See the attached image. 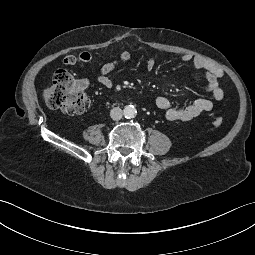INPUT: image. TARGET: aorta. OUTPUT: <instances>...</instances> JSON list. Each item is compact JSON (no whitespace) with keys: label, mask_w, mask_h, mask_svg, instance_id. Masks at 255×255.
Listing matches in <instances>:
<instances>
[{"label":"aorta","mask_w":255,"mask_h":255,"mask_svg":"<svg viewBox=\"0 0 255 255\" xmlns=\"http://www.w3.org/2000/svg\"><path fill=\"white\" fill-rule=\"evenodd\" d=\"M123 114L126 118H134L137 114V110L133 105H126Z\"/></svg>","instance_id":"aorta-1"}]
</instances>
